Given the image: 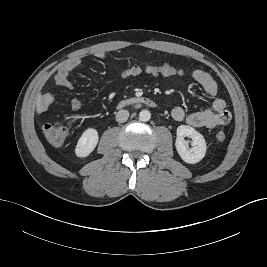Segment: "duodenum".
Segmentation results:
<instances>
[{"label":"duodenum","mask_w":267,"mask_h":267,"mask_svg":"<svg viewBox=\"0 0 267 267\" xmlns=\"http://www.w3.org/2000/svg\"><path fill=\"white\" fill-rule=\"evenodd\" d=\"M136 105H147L150 107H154L156 103L149 97H132L121 101L118 106L122 108L126 106H136Z\"/></svg>","instance_id":"duodenum-1"}]
</instances>
